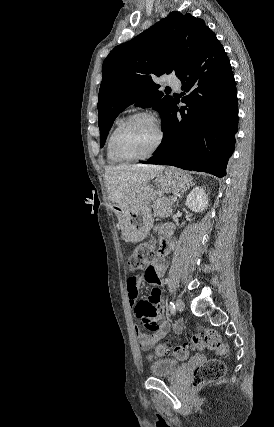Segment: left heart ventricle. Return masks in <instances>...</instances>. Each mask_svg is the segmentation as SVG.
Here are the masks:
<instances>
[{
    "mask_svg": "<svg viewBox=\"0 0 274 427\" xmlns=\"http://www.w3.org/2000/svg\"><path fill=\"white\" fill-rule=\"evenodd\" d=\"M158 137L156 125L148 119L139 118L121 129L117 135V147L125 156H143L154 148Z\"/></svg>",
    "mask_w": 274,
    "mask_h": 427,
    "instance_id": "1",
    "label": "left heart ventricle"
}]
</instances>
